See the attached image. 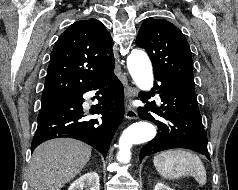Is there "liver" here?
Returning a JSON list of instances; mask_svg holds the SVG:
<instances>
[{"label": "liver", "instance_id": "6515ba94", "mask_svg": "<svg viewBox=\"0 0 238 190\" xmlns=\"http://www.w3.org/2000/svg\"><path fill=\"white\" fill-rule=\"evenodd\" d=\"M91 157V147L71 138H57L33 152L28 182L30 190H60L78 175Z\"/></svg>", "mask_w": 238, "mask_h": 190}]
</instances>
